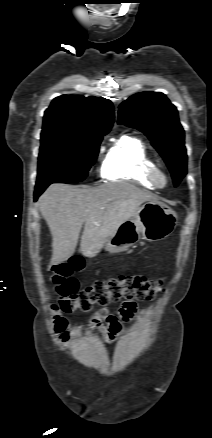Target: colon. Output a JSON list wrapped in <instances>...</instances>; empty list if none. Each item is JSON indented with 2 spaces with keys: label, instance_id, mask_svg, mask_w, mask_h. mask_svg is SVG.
I'll return each instance as SVG.
<instances>
[{
  "label": "colon",
  "instance_id": "1",
  "mask_svg": "<svg viewBox=\"0 0 212 438\" xmlns=\"http://www.w3.org/2000/svg\"><path fill=\"white\" fill-rule=\"evenodd\" d=\"M83 266L81 257H72L54 266L51 282L60 295L58 304L54 306L55 310L67 313L76 310L87 311L95 304L106 306L122 298L128 301L151 300L162 290L160 281L141 276H124L98 281L79 290L78 283L72 276ZM55 323L59 331L66 325L65 319L60 315L55 316Z\"/></svg>",
  "mask_w": 212,
  "mask_h": 438
}]
</instances>
